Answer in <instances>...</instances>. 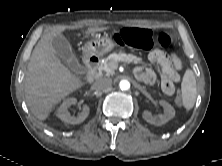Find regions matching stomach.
Returning <instances> with one entry per match:
<instances>
[{"label":"stomach","instance_id":"stomach-1","mask_svg":"<svg viewBox=\"0 0 222 166\" xmlns=\"http://www.w3.org/2000/svg\"><path fill=\"white\" fill-rule=\"evenodd\" d=\"M86 50L91 54L103 55L114 49L115 43L107 36L96 37L86 44Z\"/></svg>","mask_w":222,"mask_h":166}]
</instances>
